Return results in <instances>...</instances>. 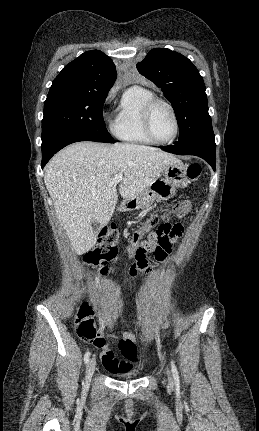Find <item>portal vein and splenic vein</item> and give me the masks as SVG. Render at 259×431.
<instances>
[{
  "mask_svg": "<svg viewBox=\"0 0 259 431\" xmlns=\"http://www.w3.org/2000/svg\"><path fill=\"white\" fill-rule=\"evenodd\" d=\"M123 179V175L121 173L116 174L115 177L113 178V181L118 183Z\"/></svg>",
  "mask_w": 259,
  "mask_h": 431,
  "instance_id": "portal-vein-and-splenic-vein-1",
  "label": "portal vein and splenic vein"
}]
</instances>
